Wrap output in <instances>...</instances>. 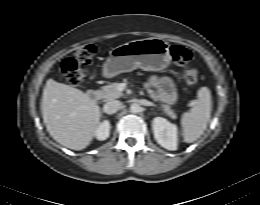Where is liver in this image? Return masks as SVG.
<instances>
[{"label":"liver","instance_id":"liver-1","mask_svg":"<svg viewBox=\"0 0 260 205\" xmlns=\"http://www.w3.org/2000/svg\"><path fill=\"white\" fill-rule=\"evenodd\" d=\"M43 122L50 136L72 150L85 149L99 126V106L87 93L48 79L41 102Z\"/></svg>","mask_w":260,"mask_h":205}]
</instances>
